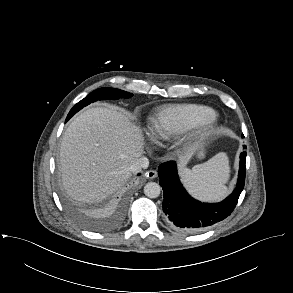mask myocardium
<instances>
[{
	"label": "myocardium",
	"mask_w": 293,
	"mask_h": 293,
	"mask_svg": "<svg viewBox=\"0 0 293 293\" xmlns=\"http://www.w3.org/2000/svg\"><path fill=\"white\" fill-rule=\"evenodd\" d=\"M217 122V116L216 114H211L205 118H203L196 126V133L202 134L210 131Z\"/></svg>",
	"instance_id": "myocardium-1"
}]
</instances>
